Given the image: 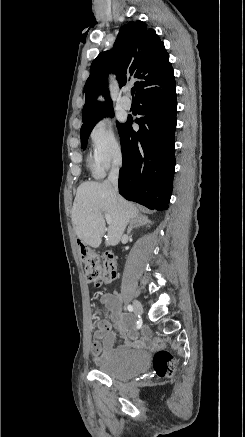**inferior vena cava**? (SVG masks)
<instances>
[{
    "instance_id": "1",
    "label": "inferior vena cava",
    "mask_w": 245,
    "mask_h": 437,
    "mask_svg": "<svg viewBox=\"0 0 245 437\" xmlns=\"http://www.w3.org/2000/svg\"><path fill=\"white\" fill-rule=\"evenodd\" d=\"M122 164V158L121 156H117L112 163V168L110 170L109 176H108V182L112 185L113 191L115 193L118 192V176H119V170Z\"/></svg>"
}]
</instances>
